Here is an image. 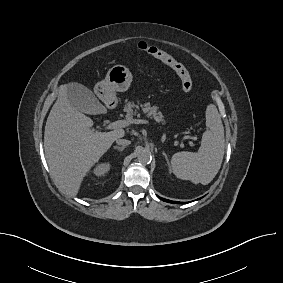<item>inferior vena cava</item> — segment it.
Here are the masks:
<instances>
[{
	"mask_svg": "<svg viewBox=\"0 0 283 283\" xmlns=\"http://www.w3.org/2000/svg\"><path fill=\"white\" fill-rule=\"evenodd\" d=\"M116 143H117L118 145L128 146V145H130L131 141L126 140V139H120V138H118V139H116Z\"/></svg>",
	"mask_w": 283,
	"mask_h": 283,
	"instance_id": "602c4592",
	"label": "inferior vena cava"
}]
</instances>
